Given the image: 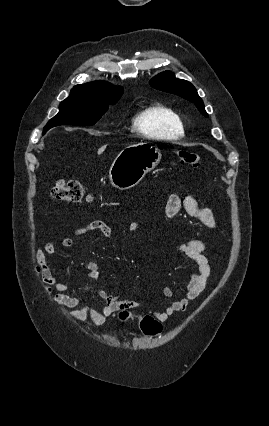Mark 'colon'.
Listing matches in <instances>:
<instances>
[{
  "instance_id": "5ec220e1",
  "label": "colon",
  "mask_w": 269,
  "mask_h": 426,
  "mask_svg": "<svg viewBox=\"0 0 269 426\" xmlns=\"http://www.w3.org/2000/svg\"><path fill=\"white\" fill-rule=\"evenodd\" d=\"M182 164L196 166L199 162V156L196 152L180 150L178 152ZM51 196L62 202L78 203L87 199L83 185L77 180H59L51 189ZM126 312H122L121 317L125 318ZM141 328L147 335H157L161 329V323L152 316L146 315L141 319Z\"/></svg>"
}]
</instances>
